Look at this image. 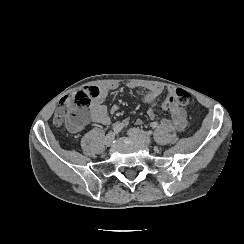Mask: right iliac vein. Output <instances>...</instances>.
Here are the masks:
<instances>
[{"instance_id": "1", "label": "right iliac vein", "mask_w": 244, "mask_h": 244, "mask_svg": "<svg viewBox=\"0 0 244 244\" xmlns=\"http://www.w3.org/2000/svg\"><path fill=\"white\" fill-rule=\"evenodd\" d=\"M115 134L113 132L109 133L105 139H104V143L106 146H111L114 140Z\"/></svg>"}]
</instances>
